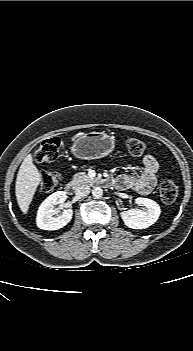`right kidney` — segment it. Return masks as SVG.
<instances>
[{
	"mask_svg": "<svg viewBox=\"0 0 193 351\" xmlns=\"http://www.w3.org/2000/svg\"><path fill=\"white\" fill-rule=\"evenodd\" d=\"M67 199L66 192L57 191L48 196L39 206L36 218L38 228L43 230H58L67 225L73 216V210L67 209L61 215L53 217L56 214L54 205L62 204Z\"/></svg>",
	"mask_w": 193,
	"mask_h": 351,
	"instance_id": "right-kidney-1",
	"label": "right kidney"
}]
</instances>
